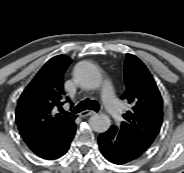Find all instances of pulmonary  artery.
I'll return each instance as SVG.
<instances>
[{
    "label": "pulmonary artery",
    "instance_id": "obj_1",
    "mask_svg": "<svg viewBox=\"0 0 184 173\" xmlns=\"http://www.w3.org/2000/svg\"><path fill=\"white\" fill-rule=\"evenodd\" d=\"M102 96L107 111L115 120H120L122 116V107L120 102L116 99L109 81H105L103 84Z\"/></svg>",
    "mask_w": 184,
    "mask_h": 173
}]
</instances>
